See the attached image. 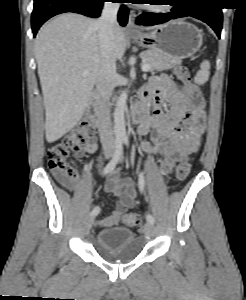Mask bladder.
I'll list each match as a JSON object with an SVG mask.
<instances>
[{
	"instance_id": "bladder-1",
	"label": "bladder",
	"mask_w": 246,
	"mask_h": 300,
	"mask_svg": "<svg viewBox=\"0 0 246 300\" xmlns=\"http://www.w3.org/2000/svg\"><path fill=\"white\" fill-rule=\"evenodd\" d=\"M99 253L121 262L137 258L142 251V242L135 232L127 227L116 226L100 230L95 239Z\"/></svg>"
}]
</instances>
